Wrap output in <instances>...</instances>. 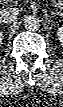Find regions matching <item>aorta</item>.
<instances>
[{
    "label": "aorta",
    "mask_w": 63,
    "mask_h": 107,
    "mask_svg": "<svg viewBox=\"0 0 63 107\" xmlns=\"http://www.w3.org/2000/svg\"><path fill=\"white\" fill-rule=\"evenodd\" d=\"M23 24L27 30L35 31L40 28L41 22L36 15H28L25 17Z\"/></svg>",
    "instance_id": "obj_1"
}]
</instances>
